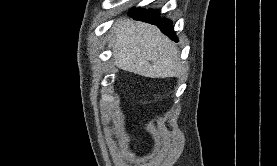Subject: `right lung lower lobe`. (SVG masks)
I'll return each mask as SVG.
<instances>
[{
	"mask_svg": "<svg viewBox=\"0 0 277 166\" xmlns=\"http://www.w3.org/2000/svg\"><path fill=\"white\" fill-rule=\"evenodd\" d=\"M134 8L131 10L130 15L136 20L145 21L151 24L157 25L161 31L167 35L172 40L177 41L174 29L172 27V22L170 20L160 19L158 12L154 9H139Z\"/></svg>",
	"mask_w": 277,
	"mask_h": 166,
	"instance_id": "right-lung-lower-lobe-1",
	"label": "right lung lower lobe"
}]
</instances>
